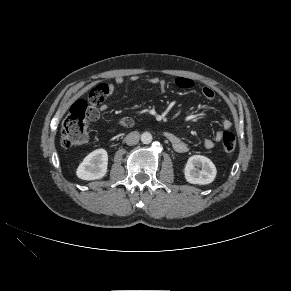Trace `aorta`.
Masks as SVG:
<instances>
[{
  "instance_id": "762f6f07",
  "label": "aorta",
  "mask_w": 291,
  "mask_h": 291,
  "mask_svg": "<svg viewBox=\"0 0 291 291\" xmlns=\"http://www.w3.org/2000/svg\"><path fill=\"white\" fill-rule=\"evenodd\" d=\"M141 141L143 144H149L152 142V135L151 133L149 132H144L142 135H141Z\"/></svg>"
}]
</instances>
